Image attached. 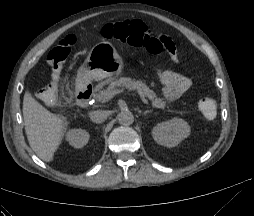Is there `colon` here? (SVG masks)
<instances>
[{"label":"colon","mask_w":254,"mask_h":216,"mask_svg":"<svg viewBox=\"0 0 254 216\" xmlns=\"http://www.w3.org/2000/svg\"><path fill=\"white\" fill-rule=\"evenodd\" d=\"M100 34L105 39H114L122 44L145 48L152 54L168 53L161 43L164 36L152 34L145 24L138 20L105 24ZM75 42L74 36H66L48 53L47 63L51 70V82L39 93L42 100L48 104H53L58 99V84L62 68ZM198 111L204 118L213 119L217 113L216 100L211 96L201 98L198 103Z\"/></svg>","instance_id":"5ec220e1"}]
</instances>
